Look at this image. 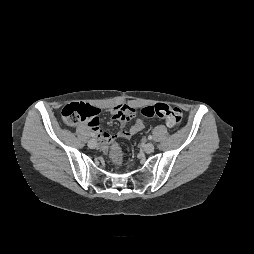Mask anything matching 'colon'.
I'll list each match as a JSON object with an SVG mask.
<instances>
[{
    "label": "colon",
    "mask_w": 254,
    "mask_h": 254,
    "mask_svg": "<svg viewBox=\"0 0 254 254\" xmlns=\"http://www.w3.org/2000/svg\"><path fill=\"white\" fill-rule=\"evenodd\" d=\"M145 117H157L165 122L170 128H176L182 121V112L179 108L165 104L157 103L150 106H145L141 110ZM61 117L66 125L73 126L80 122L91 123L98 117L96 108L82 103H73L66 105L61 111ZM112 155L114 160L122 163V155L117 147H113Z\"/></svg>",
    "instance_id": "5ec220e1"
}]
</instances>
